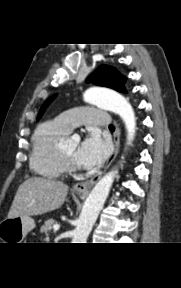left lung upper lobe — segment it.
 Returning a JSON list of instances; mask_svg holds the SVG:
<instances>
[{
    "label": "left lung upper lobe",
    "mask_w": 181,
    "mask_h": 288,
    "mask_svg": "<svg viewBox=\"0 0 181 288\" xmlns=\"http://www.w3.org/2000/svg\"><path fill=\"white\" fill-rule=\"evenodd\" d=\"M125 80L126 78L122 76L115 68L108 65H101L94 73L89 76L87 81L96 85L112 88L118 92H126L123 86ZM52 99L53 97H50L42 105L38 114V119L42 116L44 110Z\"/></svg>",
    "instance_id": "1"
}]
</instances>
